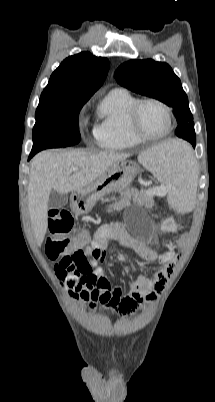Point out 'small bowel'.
<instances>
[{"instance_id":"obj_1","label":"small bowel","mask_w":215,"mask_h":402,"mask_svg":"<svg viewBox=\"0 0 215 402\" xmlns=\"http://www.w3.org/2000/svg\"><path fill=\"white\" fill-rule=\"evenodd\" d=\"M143 203L147 205L150 201L143 200ZM83 234L86 233L81 235ZM110 239L117 240L125 247L154 254L153 251L147 250L142 243L133 238L121 223L117 222L113 226L103 227L94 234L92 242L87 244V248L80 250L85 256L82 262L74 263L72 267H60L57 263L55 271L73 300L88 302L92 309L99 303L121 317H130L141 306L155 301L169 277V270L168 268L161 269L154 278L145 275L137 276L131 281L128 293L124 294L119 286L111 285L98 266L106 259V248ZM171 257L172 253L166 252L161 255L160 259L166 263ZM82 265L87 267V271L80 270Z\"/></svg>"}]
</instances>
